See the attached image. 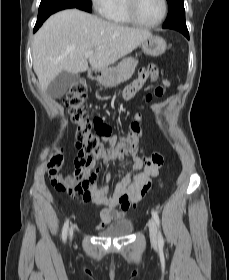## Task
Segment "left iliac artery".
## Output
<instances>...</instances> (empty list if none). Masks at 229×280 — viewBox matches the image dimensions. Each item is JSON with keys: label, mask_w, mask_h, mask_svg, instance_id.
<instances>
[{"label": "left iliac artery", "mask_w": 229, "mask_h": 280, "mask_svg": "<svg viewBox=\"0 0 229 280\" xmlns=\"http://www.w3.org/2000/svg\"><path fill=\"white\" fill-rule=\"evenodd\" d=\"M151 214H152V217H153V219L155 220L157 226L159 227L160 220H159L158 213H157L156 211L152 210ZM158 243H159L160 245H163V244H164V240H163V237H162L160 231H159V233H158Z\"/></svg>", "instance_id": "left-iliac-artery-1"}]
</instances>
